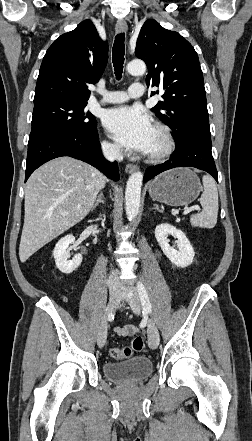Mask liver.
Here are the masks:
<instances>
[{
	"instance_id": "obj_1",
	"label": "liver",
	"mask_w": 252,
	"mask_h": 441,
	"mask_svg": "<svg viewBox=\"0 0 252 441\" xmlns=\"http://www.w3.org/2000/svg\"><path fill=\"white\" fill-rule=\"evenodd\" d=\"M106 179L93 166L64 156L39 167L25 187L19 258L25 262L90 212Z\"/></svg>"
}]
</instances>
